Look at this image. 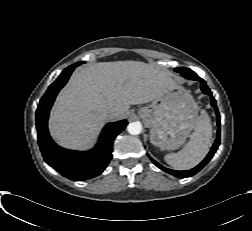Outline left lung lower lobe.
<instances>
[{
    "label": "left lung lower lobe",
    "instance_id": "0a47b994",
    "mask_svg": "<svg viewBox=\"0 0 252 231\" xmlns=\"http://www.w3.org/2000/svg\"><path fill=\"white\" fill-rule=\"evenodd\" d=\"M181 75L183 77H185V78L192 79V80H197V81H199L201 83V90L203 91L204 94H207V95H209L211 97V99H212L211 105L215 108L216 115H217V117H219V111H218L217 106H216V101H215L214 97L212 96V93H211L210 89L208 88V86L206 85L205 81L203 79H201L192 70H190L189 72H185V73H183ZM217 125H218L217 137H216V140H215L210 152L208 153L206 158L198 166H196L195 168H193L191 170H188V171H175V170H171V169L163 167L162 165L157 163L155 160H153L151 157H150V159L152 160V162L158 168H160L161 170H164L167 173H169L171 175H174L176 177L186 178V177L193 176L194 174L199 172L210 161V159L212 158V156L216 152L218 146L220 145V120H218Z\"/></svg>",
    "mask_w": 252,
    "mask_h": 231
}]
</instances>
